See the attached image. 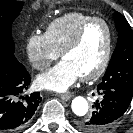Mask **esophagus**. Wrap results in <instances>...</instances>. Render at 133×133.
I'll return each mask as SVG.
<instances>
[{
	"instance_id": "34e87169",
	"label": "esophagus",
	"mask_w": 133,
	"mask_h": 133,
	"mask_svg": "<svg viewBox=\"0 0 133 133\" xmlns=\"http://www.w3.org/2000/svg\"><path fill=\"white\" fill-rule=\"evenodd\" d=\"M59 97L64 100V101H68L71 99V95L70 94H60Z\"/></svg>"
}]
</instances>
